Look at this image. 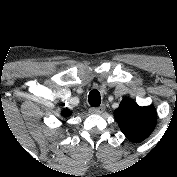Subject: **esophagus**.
<instances>
[{
    "label": "esophagus",
    "instance_id": "obj_1",
    "mask_svg": "<svg viewBox=\"0 0 177 177\" xmlns=\"http://www.w3.org/2000/svg\"><path fill=\"white\" fill-rule=\"evenodd\" d=\"M105 110V107L102 105L100 107H92L89 109L91 114H101Z\"/></svg>",
    "mask_w": 177,
    "mask_h": 177
}]
</instances>
